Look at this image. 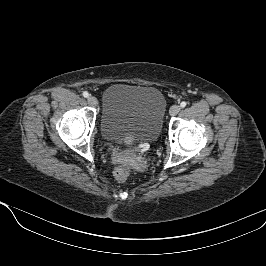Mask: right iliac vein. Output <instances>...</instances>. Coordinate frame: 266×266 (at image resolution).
I'll use <instances>...</instances> for the list:
<instances>
[{
    "label": "right iliac vein",
    "instance_id": "63e3f726",
    "mask_svg": "<svg viewBox=\"0 0 266 266\" xmlns=\"http://www.w3.org/2000/svg\"><path fill=\"white\" fill-rule=\"evenodd\" d=\"M88 104L90 105V106H93V107H96L97 105H98V100H97V98L96 97H94V96H90V97H88Z\"/></svg>",
    "mask_w": 266,
    "mask_h": 266
}]
</instances>
